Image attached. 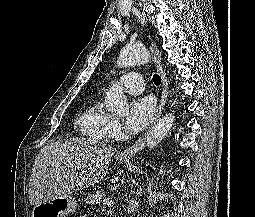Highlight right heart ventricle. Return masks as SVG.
<instances>
[{
	"label": "right heart ventricle",
	"mask_w": 255,
	"mask_h": 217,
	"mask_svg": "<svg viewBox=\"0 0 255 217\" xmlns=\"http://www.w3.org/2000/svg\"><path fill=\"white\" fill-rule=\"evenodd\" d=\"M111 119L110 114L101 107L99 100L95 98L80 113L76 125L85 137L95 141H104L110 136Z\"/></svg>",
	"instance_id": "e07e8e85"
}]
</instances>
